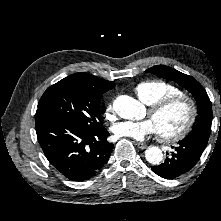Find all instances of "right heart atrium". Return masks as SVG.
Returning a JSON list of instances; mask_svg holds the SVG:
<instances>
[{
  "instance_id": "obj_1",
  "label": "right heart atrium",
  "mask_w": 221,
  "mask_h": 221,
  "mask_svg": "<svg viewBox=\"0 0 221 221\" xmlns=\"http://www.w3.org/2000/svg\"><path fill=\"white\" fill-rule=\"evenodd\" d=\"M105 117L107 120H114L115 116H114V113H113V105L112 103H109L105 109Z\"/></svg>"
}]
</instances>
